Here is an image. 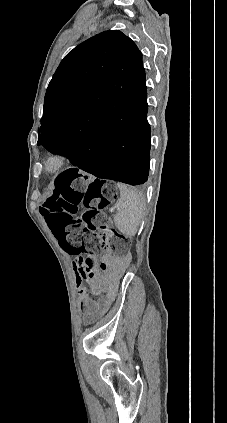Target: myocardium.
Instances as JSON below:
<instances>
[{
	"instance_id": "1",
	"label": "myocardium",
	"mask_w": 227,
	"mask_h": 423,
	"mask_svg": "<svg viewBox=\"0 0 227 423\" xmlns=\"http://www.w3.org/2000/svg\"><path fill=\"white\" fill-rule=\"evenodd\" d=\"M70 162L68 154L55 151L48 153L43 161L44 172L47 175H56L63 171Z\"/></svg>"
}]
</instances>
